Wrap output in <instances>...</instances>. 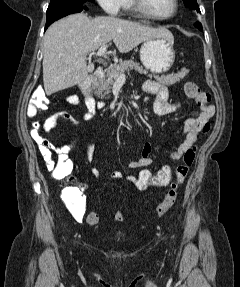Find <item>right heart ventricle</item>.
Segmentation results:
<instances>
[{
	"label": "right heart ventricle",
	"mask_w": 240,
	"mask_h": 287,
	"mask_svg": "<svg viewBox=\"0 0 240 287\" xmlns=\"http://www.w3.org/2000/svg\"><path fill=\"white\" fill-rule=\"evenodd\" d=\"M122 9L127 14H136L137 10L135 8V4L133 0H124Z\"/></svg>",
	"instance_id": "obj_1"
}]
</instances>
